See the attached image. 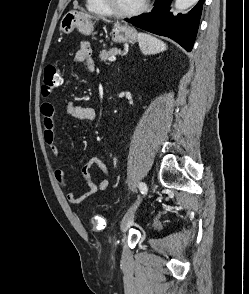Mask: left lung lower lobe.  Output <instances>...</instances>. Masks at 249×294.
I'll return each instance as SVG.
<instances>
[{
  "label": "left lung lower lobe",
  "mask_w": 249,
  "mask_h": 294,
  "mask_svg": "<svg viewBox=\"0 0 249 294\" xmlns=\"http://www.w3.org/2000/svg\"><path fill=\"white\" fill-rule=\"evenodd\" d=\"M171 1L156 0L155 7L150 13L126 21L149 32L167 36L190 52L199 27L204 0H199L188 14L177 16L169 12Z\"/></svg>",
  "instance_id": "left-lung-lower-lobe-1"
}]
</instances>
